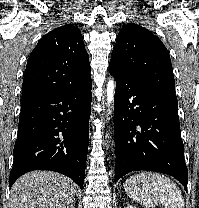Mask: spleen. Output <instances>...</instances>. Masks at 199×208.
<instances>
[{
	"instance_id": "obj_1",
	"label": "spleen",
	"mask_w": 199,
	"mask_h": 208,
	"mask_svg": "<svg viewBox=\"0 0 199 208\" xmlns=\"http://www.w3.org/2000/svg\"><path fill=\"white\" fill-rule=\"evenodd\" d=\"M126 193L148 208H184L185 202L178 186L168 177L151 172L130 176L124 183Z\"/></svg>"
}]
</instances>
